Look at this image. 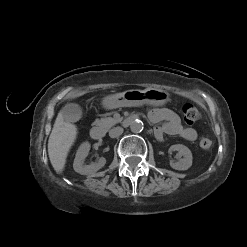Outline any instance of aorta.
Returning <instances> with one entry per match:
<instances>
[{
    "label": "aorta",
    "instance_id": "762f6f07",
    "mask_svg": "<svg viewBox=\"0 0 247 247\" xmlns=\"http://www.w3.org/2000/svg\"><path fill=\"white\" fill-rule=\"evenodd\" d=\"M144 128V124L141 120H135L130 124V130L133 133H140Z\"/></svg>",
    "mask_w": 247,
    "mask_h": 247
}]
</instances>
